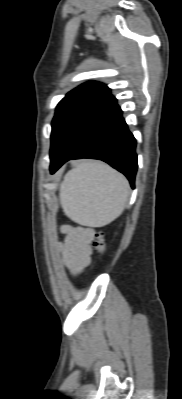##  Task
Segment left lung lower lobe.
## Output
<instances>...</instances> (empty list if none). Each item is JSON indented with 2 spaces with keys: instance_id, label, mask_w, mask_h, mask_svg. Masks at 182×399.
Returning <instances> with one entry per match:
<instances>
[{
  "instance_id": "obj_1",
  "label": "left lung lower lobe",
  "mask_w": 182,
  "mask_h": 399,
  "mask_svg": "<svg viewBox=\"0 0 182 399\" xmlns=\"http://www.w3.org/2000/svg\"><path fill=\"white\" fill-rule=\"evenodd\" d=\"M136 140L128 130L122 111L113 98L88 115L61 154L51 161V174L71 159L102 160L129 180L134 188L137 171Z\"/></svg>"
}]
</instances>
